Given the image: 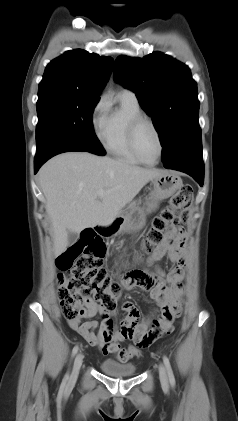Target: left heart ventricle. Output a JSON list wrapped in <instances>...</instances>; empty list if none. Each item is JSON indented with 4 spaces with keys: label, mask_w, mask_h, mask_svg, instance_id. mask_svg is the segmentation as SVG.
Segmentation results:
<instances>
[{
    "label": "left heart ventricle",
    "mask_w": 238,
    "mask_h": 421,
    "mask_svg": "<svg viewBox=\"0 0 238 421\" xmlns=\"http://www.w3.org/2000/svg\"><path fill=\"white\" fill-rule=\"evenodd\" d=\"M136 146L141 157L147 162H153L159 154V143L152 126L143 122L137 131Z\"/></svg>",
    "instance_id": "1"
}]
</instances>
